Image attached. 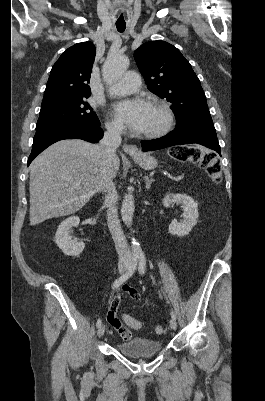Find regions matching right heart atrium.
I'll return each instance as SVG.
<instances>
[{"label":"right heart atrium","instance_id":"1","mask_svg":"<svg viewBox=\"0 0 265 401\" xmlns=\"http://www.w3.org/2000/svg\"><path fill=\"white\" fill-rule=\"evenodd\" d=\"M106 128L109 134L116 135L123 132V127L116 122H107Z\"/></svg>","mask_w":265,"mask_h":401}]
</instances>
